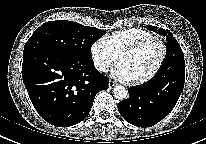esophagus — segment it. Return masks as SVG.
Wrapping results in <instances>:
<instances>
[{"instance_id":"esophagus-1","label":"esophagus","mask_w":206,"mask_h":144,"mask_svg":"<svg viewBox=\"0 0 206 144\" xmlns=\"http://www.w3.org/2000/svg\"><path fill=\"white\" fill-rule=\"evenodd\" d=\"M117 84H116V82H114V81H112V80H110L109 81V88H113V87H115Z\"/></svg>"}]
</instances>
